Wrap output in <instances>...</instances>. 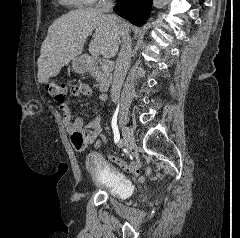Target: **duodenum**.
I'll list each match as a JSON object with an SVG mask.
<instances>
[{"label": "duodenum", "mask_w": 240, "mask_h": 238, "mask_svg": "<svg viewBox=\"0 0 240 238\" xmlns=\"http://www.w3.org/2000/svg\"><path fill=\"white\" fill-rule=\"evenodd\" d=\"M87 67L92 75L99 77L101 90L107 91L112 83V75L110 73H99L92 61L87 62Z\"/></svg>", "instance_id": "410a0bca"}]
</instances>
